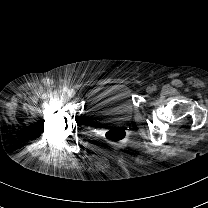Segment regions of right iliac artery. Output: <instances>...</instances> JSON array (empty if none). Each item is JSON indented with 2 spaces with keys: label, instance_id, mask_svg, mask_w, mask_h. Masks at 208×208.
I'll return each instance as SVG.
<instances>
[{
  "label": "right iliac artery",
  "instance_id": "1",
  "mask_svg": "<svg viewBox=\"0 0 208 208\" xmlns=\"http://www.w3.org/2000/svg\"><path fill=\"white\" fill-rule=\"evenodd\" d=\"M63 92H65V93L69 92L68 88L65 87V88L63 89Z\"/></svg>",
  "mask_w": 208,
  "mask_h": 208
}]
</instances>
